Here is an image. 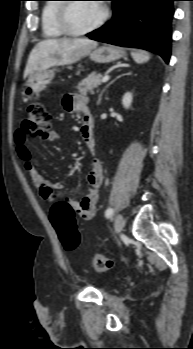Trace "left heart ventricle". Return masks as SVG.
<instances>
[{"label":"left heart ventricle","mask_w":193,"mask_h":349,"mask_svg":"<svg viewBox=\"0 0 193 349\" xmlns=\"http://www.w3.org/2000/svg\"><path fill=\"white\" fill-rule=\"evenodd\" d=\"M103 7L93 2L74 3L68 13L69 23L75 30L93 25L102 15Z\"/></svg>","instance_id":"b2bd125f"}]
</instances>
